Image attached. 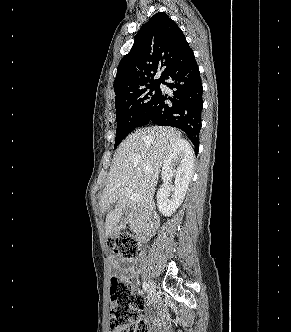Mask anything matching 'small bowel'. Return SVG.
I'll list each match as a JSON object with an SVG mask.
<instances>
[{
	"instance_id": "small-bowel-1",
	"label": "small bowel",
	"mask_w": 291,
	"mask_h": 332,
	"mask_svg": "<svg viewBox=\"0 0 291 332\" xmlns=\"http://www.w3.org/2000/svg\"><path fill=\"white\" fill-rule=\"evenodd\" d=\"M112 263H113V266L116 268V269H120L122 271H124L126 274L129 275V277L131 279H135V268L133 265L131 264H127L123 261H119V260H116L114 258H112ZM153 321L158 324V325H161L162 324V320H161V313H158L154 318H153Z\"/></svg>"
}]
</instances>
